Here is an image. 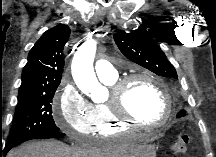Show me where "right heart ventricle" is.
<instances>
[{
  "mask_svg": "<svg viewBox=\"0 0 216 157\" xmlns=\"http://www.w3.org/2000/svg\"><path fill=\"white\" fill-rule=\"evenodd\" d=\"M116 81L117 77L103 80L108 86H112ZM93 108L97 119L95 132L99 137H110L116 134L133 132L129 125L118 121L114 117L107 102L97 103L93 105Z\"/></svg>",
  "mask_w": 216,
  "mask_h": 157,
  "instance_id": "right-heart-ventricle-1",
  "label": "right heart ventricle"
}]
</instances>
